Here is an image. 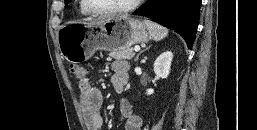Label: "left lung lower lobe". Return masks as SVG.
<instances>
[{
    "instance_id": "left-lung-lower-lobe-1",
    "label": "left lung lower lobe",
    "mask_w": 257,
    "mask_h": 130,
    "mask_svg": "<svg viewBox=\"0 0 257 130\" xmlns=\"http://www.w3.org/2000/svg\"><path fill=\"white\" fill-rule=\"evenodd\" d=\"M201 0H148L133 14L174 29L191 49L200 18Z\"/></svg>"
}]
</instances>
